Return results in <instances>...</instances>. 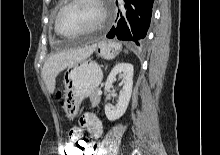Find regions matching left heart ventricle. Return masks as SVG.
Returning <instances> with one entry per match:
<instances>
[{"label":"left heart ventricle","mask_w":220,"mask_h":155,"mask_svg":"<svg viewBox=\"0 0 220 155\" xmlns=\"http://www.w3.org/2000/svg\"><path fill=\"white\" fill-rule=\"evenodd\" d=\"M100 15V9L93 0H78L61 13L58 26L66 34L78 32L95 24Z\"/></svg>","instance_id":"left-heart-ventricle-1"}]
</instances>
